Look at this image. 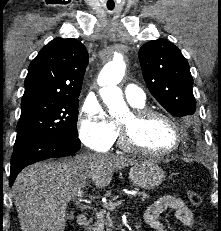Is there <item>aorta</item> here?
I'll use <instances>...</instances> for the list:
<instances>
[{"instance_id": "1", "label": "aorta", "mask_w": 221, "mask_h": 231, "mask_svg": "<svg viewBox=\"0 0 221 231\" xmlns=\"http://www.w3.org/2000/svg\"><path fill=\"white\" fill-rule=\"evenodd\" d=\"M125 74V64L121 54L116 53L111 62L107 63L98 77L101 86L100 95L103 102L108 106L111 115H118L126 108L123 93L117 86Z\"/></svg>"}]
</instances>
